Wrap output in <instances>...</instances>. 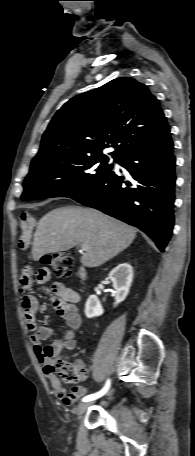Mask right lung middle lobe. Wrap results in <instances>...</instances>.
Masks as SVG:
<instances>
[{
  "label": "right lung middle lobe",
  "mask_w": 195,
  "mask_h": 456,
  "mask_svg": "<svg viewBox=\"0 0 195 456\" xmlns=\"http://www.w3.org/2000/svg\"><path fill=\"white\" fill-rule=\"evenodd\" d=\"M116 161V160H115ZM101 155L59 158L30 167L22 200L49 197L76 198L90 192L112 173Z\"/></svg>",
  "instance_id": "obj_1"
}]
</instances>
